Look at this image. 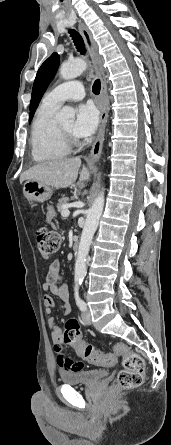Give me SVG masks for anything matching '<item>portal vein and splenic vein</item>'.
Returning <instances> with one entry per match:
<instances>
[{"mask_svg":"<svg viewBox=\"0 0 171 445\" xmlns=\"http://www.w3.org/2000/svg\"><path fill=\"white\" fill-rule=\"evenodd\" d=\"M69 214H70V211L67 210V209H63V210L61 211V215H62V217H68Z\"/></svg>","mask_w":171,"mask_h":445,"instance_id":"1","label":"portal vein and splenic vein"}]
</instances>
